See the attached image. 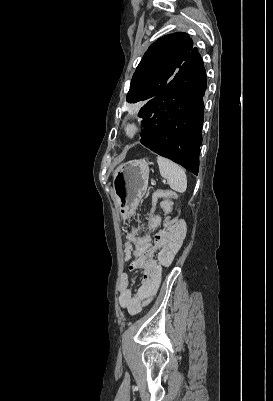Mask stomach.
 Returning <instances> with one entry per match:
<instances>
[{
  "mask_svg": "<svg viewBox=\"0 0 273 401\" xmlns=\"http://www.w3.org/2000/svg\"><path fill=\"white\" fill-rule=\"evenodd\" d=\"M149 166L144 158L128 160L119 166L113 180L114 203L121 219H131L147 192Z\"/></svg>",
  "mask_w": 273,
  "mask_h": 401,
  "instance_id": "obj_1",
  "label": "stomach"
}]
</instances>
